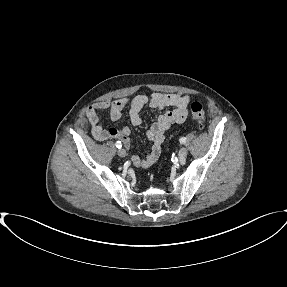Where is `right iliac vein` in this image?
I'll return each mask as SVG.
<instances>
[{"instance_id":"63e3f726","label":"right iliac vein","mask_w":287,"mask_h":287,"mask_svg":"<svg viewBox=\"0 0 287 287\" xmlns=\"http://www.w3.org/2000/svg\"><path fill=\"white\" fill-rule=\"evenodd\" d=\"M126 150L124 149V148H120L119 150H118V155L120 156V157H125L126 156Z\"/></svg>"}]
</instances>
